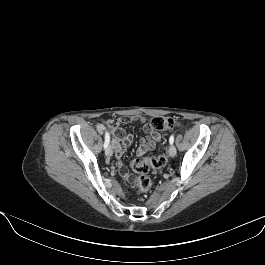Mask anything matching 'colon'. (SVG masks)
Instances as JSON below:
<instances>
[{
    "label": "colon",
    "instance_id": "obj_1",
    "mask_svg": "<svg viewBox=\"0 0 265 265\" xmlns=\"http://www.w3.org/2000/svg\"><path fill=\"white\" fill-rule=\"evenodd\" d=\"M151 127L155 130H173L179 127L177 119L168 116L155 117L151 120ZM167 155L160 154L142 159H134L131 163L132 169L138 174L136 186L141 192H147L152 186V180L147 173L150 169H161L167 163Z\"/></svg>",
    "mask_w": 265,
    "mask_h": 265
}]
</instances>
